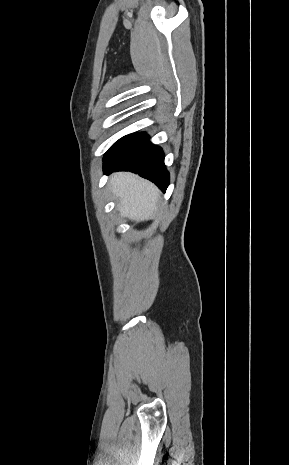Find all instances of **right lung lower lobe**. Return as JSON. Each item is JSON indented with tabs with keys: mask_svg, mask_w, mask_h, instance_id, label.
Returning a JSON list of instances; mask_svg holds the SVG:
<instances>
[{
	"mask_svg": "<svg viewBox=\"0 0 289 465\" xmlns=\"http://www.w3.org/2000/svg\"><path fill=\"white\" fill-rule=\"evenodd\" d=\"M131 171L154 182L163 192L169 185V173L164 165V153L146 135L126 156L116 162H104V173Z\"/></svg>",
	"mask_w": 289,
	"mask_h": 465,
	"instance_id": "98d812e1",
	"label": "right lung lower lobe"
}]
</instances>
